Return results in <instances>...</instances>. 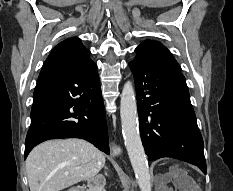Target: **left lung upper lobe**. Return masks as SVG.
<instances>
[{"mask_svg":"<svg viewBox=\"0 0 233 191\" xmlns=\"http://www.w3.org/2000/svg\"><path fill=\"white\" fill-rule=\"evenodd\" d=\"M135 51L137 53L135 58L160 62L181 71V67L170 51L159 42L147 40L140 44Z\"/></svg>","mask_w":233,"mask_h":191,"instance_id":"1","label":"left lung upper lobe"}]
</instances>
